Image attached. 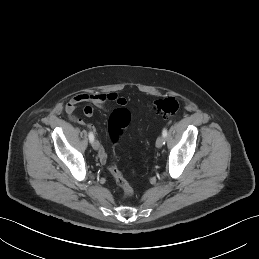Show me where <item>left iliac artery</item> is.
I'll list each match as a JSON object with an SVG mask.
<instances>
[{"label": "left iliac artery", "mask_w": 259, "mask_h": 259, "mask_svg": "<svg viewBox=\"0 0 259 259\" xmlns=\"http://www.w3.org/2000/svg\"><path fill=\"white\" fill-rule=\"evenodd\" d=\"M162 136L164 137V138H166L167 137V129H163V131H162Z\"/></svg>", "instance_id": "left-iliac-artery-1"}]
</instances>
